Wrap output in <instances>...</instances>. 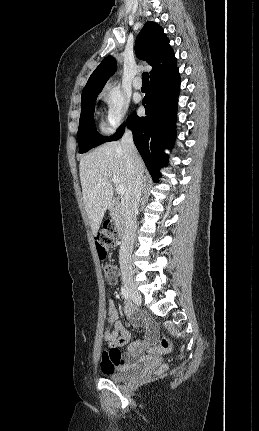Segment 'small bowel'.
<instances>
[{
  "mask_svg": "<svg viewBox=\"0 0 259 431\" xmlns=\"http://www.w3.org/2000/svg\"><path fill=\"white\" fill-rule=\"evenodd\" d=\"M124 312L127 316L132 315V310L129 306L125 307ZM134 324L139 325L138 322H134ZM140 325L147 330L148 336L143 341L130 344L127 353L122 354L119 348L129 342L130 334L124 324L119 320L115 302L113 300L108 301V328L105 331L104 339L108 343L109 348L105 350L101 356V370L104 373L118 367L126 366L132 359L138 356V348L140 345L154 338L155 328L151 323L142 321Z\"/></svg>",
  "mask_w": 259,
  "mask_h": 431,
  "instance_id": "c3829d8e",
  "label": "small bowel"
}]
</instances>
